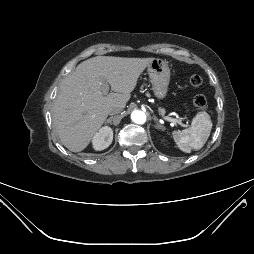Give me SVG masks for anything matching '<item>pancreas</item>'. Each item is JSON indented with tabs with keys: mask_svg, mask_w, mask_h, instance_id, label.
<instances>
[{
	"mask_svg": "<svg viewBox=\"0 0 254 254\" xmlns=\"http://www.w3.org/2000/svg\"><path fill=\"white\" fill-rule=\"evenodd\" d=\"M159 111H160L161 115H163L165 113L164 109H160Z\"/></svg>",
	"mask_w": 254,
	"mask_h": 254,
	"instance_id": "1",
	"label": "pancreas"
}]
</instances>
